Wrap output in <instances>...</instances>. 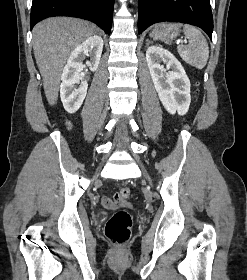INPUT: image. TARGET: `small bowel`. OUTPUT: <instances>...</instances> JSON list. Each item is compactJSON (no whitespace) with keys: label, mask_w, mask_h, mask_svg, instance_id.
Here are the masks:
<instances>
[{"label":"small bowel","mask_w":247,"mask_h":280,"mask_svg":"<svg viewBox=\"0 0 247 280\" xmlns=\"http://www.w3.org/2000/svg\"><path fill=\"white\" fill-rule=\"evenodd\" d=\"M102 204L109 209H113L115 207L121 206V205H127L124 202H119L116 200V197H109V196H105L102 198Z\"/></svg>","instance_id":"c3829d8e"}]
</instances>
